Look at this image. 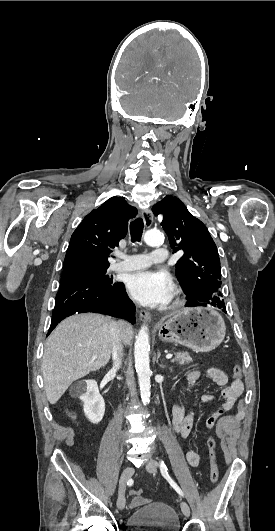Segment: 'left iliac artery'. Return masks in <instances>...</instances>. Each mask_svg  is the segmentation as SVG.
Returning a JSON list of instances; mask_svg holds the SVG:
<instances>
[{
    "mask_svg": "<svg viewBox=\"0 0 275 531\" xmlns=\"http://www.w3.org/2000/svg\"><path fill=\"white\" fill-rule=\"evenodd\" d=\"M160 471H161V474L162 476L169 482V484L174 488V490L181 496H184L183 495V492L182 490L180 489V487L174 482V480L170 477V475L168 474V468L167 466L165 465L164 461L163 460H160Z\"/></svg>",
    "mask_w": 275,
    "mask_h": 531,
    "instance_id": "left-iliac-artery-1",
    "label": "left iliac artery"
}]
</instances>
